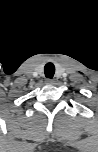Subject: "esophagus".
<instances>
[{
  "label": "esophagus",
  "mask_w": 98,
  "mask_h": 152,
  "mask_svg": "<svg viewBox=\"0 0 98 152\" xmlns=\"http://www.w3.org/2000/svg\"><path fill=\"white\" fill-rule=\"evenodd\" d=\"M45 82H46V84L52 85V84H54L55 81L53 79L47 78Z\"/></svg>",
  "instance_id": "esophagus-1"
}]
</instances>
